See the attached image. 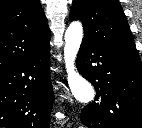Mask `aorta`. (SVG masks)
<instances>
[{
  "mask_svg": "<svg viewBox=\"0 0 142 128\" xmlns=\"http://www.w3.org/2000/svg\"><path fill=\"white\" fill-rule=\"evenodd\" d=\"M83 39V27L78 21L72 22L67 28L64 40V61L68 74L67 80L75 99L88 104L93 101L95 91L92 85L84 79L75 68V60Z\"/></svg>",
  "mask_w": 142,
  "mask_h": 128,
  "instance_id": "1",
  "label": "aorta"
}]
</instances>
